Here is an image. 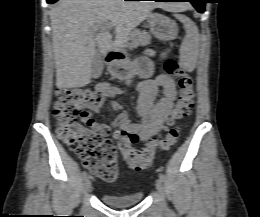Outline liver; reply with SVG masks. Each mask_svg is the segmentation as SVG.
<instances>
[{
	"label": "liver",
	"instance_id": "6515ba94",
	"mask_svg": "<svg viewBox=\"0 0 260 217\" xmlns=\"http://www.w3.org/2000/svg\"><path fill=\"white\" fill-rule=\"evenodd\" d=\"M155 8L178 12L187 6L124 0H59L50 10L56 87L75 88L89 84L96 46L102 55L121 50L132 30ZM106 23L116 27L114 41L108 32L94 34L92 31Z\"/></svg>",
	"mask_w": 260,
	"mask_h": 217
}]
</instances>
